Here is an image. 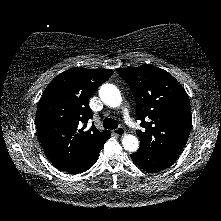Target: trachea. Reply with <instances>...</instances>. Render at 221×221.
Here are the masks:
<instances>
[{"label":"trachea","mask_w":221,"mask_h":221,"mask_svg":"<svg viewBox=\"0 0 221 221\" xmlns=\"http://www.w3.org/2000/svg\"><path fill=\"white\" fill-rule=\"evenodd\" d=\"M104 128L107 129H116L118 127V122L111 118H106L103 121Z\"/></svg>","instance_id":"trachea-1"}]
</instances>
